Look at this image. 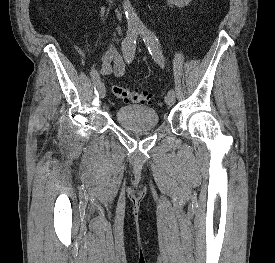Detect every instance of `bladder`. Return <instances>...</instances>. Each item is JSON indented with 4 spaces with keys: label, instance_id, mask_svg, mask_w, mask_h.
Listing matches in <instances>:
<instances>
[{
    "label": "bladder",
    "instance_id": "obj_1",
    "mask_svg": "<svg viewBox=\"0 0 275 263\" xmlns=\"http://www.w3.org/2000/svg\"><path fill=\"white\" fill-rule=\"evenodd\" d=\"M115 117L121 126L131 131L155 128L159 122L157 111L142 105L121 106L116 109Z\"/></svg>",
    "mask_w": 275,
    "mask_h": 263
}]
</instances>
